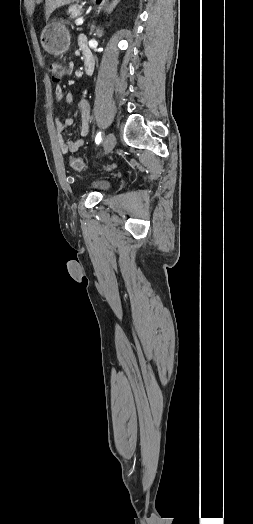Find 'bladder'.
Segmentation results:
<instances>
[{
    "label": "bladder",
    "instance_id": "31cf9c89",
    "mask_svg": "<svg viewBox=\"0 0 253 524\" xmlns=\"http://www.w3.org/2000/svg\"><path fill=\"white\" fill-rule=\"evenodd\" d=\"M92 187L96 188L98 191L104 193L110 189V183L106 180H96L92 182Z\"/></svg>",
    "mask_w": 253,
    "mask_h": 524
}]
</instances>
